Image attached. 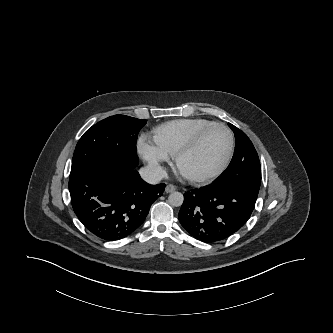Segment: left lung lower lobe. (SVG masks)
I'll return each mask as SVG.
<instances>
[{"label": "left lung lower lobe", "mask_w": 333, "mask_h": 333, "mask_svg": "<svg viewBox=\"0 0 333 333\" xmlns=\"http://www.w3.org/2000/svg\"><path fill=\"white\" fill-rule=\"evenodd\" d=\"M256 199V195L242 188L212 183L184 194L178 218L194 238L206 243L219 242L247 222Z\"/></svg>", "instance_id": "1"}]
</instances>
